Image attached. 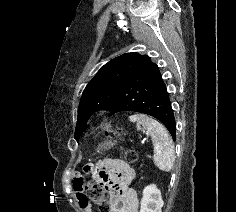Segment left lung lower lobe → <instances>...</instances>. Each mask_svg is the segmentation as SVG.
I'll return each instance as SVG.
<instances>
[{
  "label": "left lung lower lobe",
  "instance_id": "0a47b994",
  "mask_svg": "<svg viewBox=\"0 0 236 212\" xmlns=\"http://www.w3.org/2000/svg\"><path fill=\"white\" fill-rule=\"evenodd\" d=\"M109 115L134 111L150 115L162 122L175 140V117L169 93L159 67L149 56H144L131 80L111 104Z\"/></svg>",
  "mask_w": 236,
  "mask_h": 212
}]
</instances>
